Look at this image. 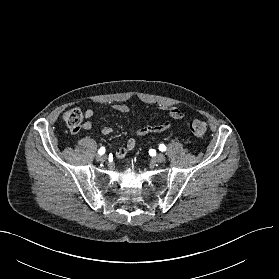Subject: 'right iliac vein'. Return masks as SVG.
Segmentation results:
<instances>
[{"label":"right iliac vein","mask_w":279,"mask_h":279,"mask_svg":"<svg viewBox=\"0 0 279 279\" xmlns=\"http://www.w3.org/2000/svg\"><path fill=\"white\" fill-rule=\"evenodd\" d=\"M106 155H99V156H97V160L98 161H101V162H104L105 160H106Z\"/></svg>","instance_id":"63e3f726"}]
</instances>
